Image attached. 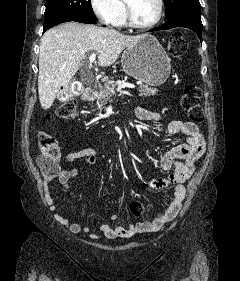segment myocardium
Here are the masks:
<instances>
[{"mask_svg":"<svg viewBox=\"0 0 240 281\" xmlns=\"http://www.w3.org/2000/svg\"><path fill=\"white\" fill-rule=\"evenodd\" d=\"M157 3H158V10H157L156 17L149 23H138L134 18L133 8L130 0H124L127 24L135 29H148L157 25L163 17L164 0H157Z\"/></svg>","mask_w":240,"mask_h":281,"instance_id":"myocardium-1","label":"myocardium"}]
</instances>
